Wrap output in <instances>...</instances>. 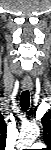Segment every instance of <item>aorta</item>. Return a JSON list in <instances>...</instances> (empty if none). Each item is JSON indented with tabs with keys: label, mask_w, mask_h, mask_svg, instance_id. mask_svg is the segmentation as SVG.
<instances>
[{
	"label": "aorta",
	"mask_w": 51,
	"mask_h": 150,
	"mask_svg": "<svg viewBox=\"0 0 51 150\" xmlns=\"http://www.w3.org/2000/svg\"><path fill=\"white\" fill-rule=\"evenodd\" d=\"M40 134V129L37 126H29L22 129L16 147L18 150L30 147Z\"/></svg>",
	"instance_id": "762f6f07"
}]
</instances>
